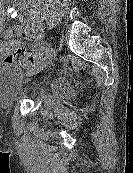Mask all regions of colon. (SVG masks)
<instances>
[{
	"label": "colon",
	"instance_id": "5ec220e1",
	"mask_svg": "<svg viewBox=\"0 0 133 173\" xmlns=\"http://www.w3.org/2000/svg\"><path fill=\"white\" fill-rule=\"evenodd\" d=\"M31 61L32 58L25 50L23 42L20 39H16L9 43L2 64L10 65L15 63L27 65Z\"/></svg>",
	"mask_w": 133,
	"mask_h": 173
}]
</instances>
